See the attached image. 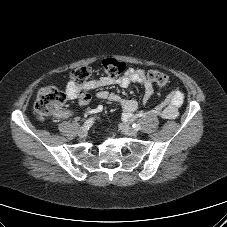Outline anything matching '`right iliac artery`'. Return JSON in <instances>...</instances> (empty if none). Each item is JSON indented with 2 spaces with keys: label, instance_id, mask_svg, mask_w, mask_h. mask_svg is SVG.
<instances>
[{
  "label": "right iliac artery",
  "instance_id": "right-iliac-artery-1",
  "mask_svg": "<svg viewBox=\"0 0 227 227\" xmlns=\"http://www.w3.org/2000/svg\"><path fill=\"white\" fill-rule=\"evenodd\" d=\"M94 123V118H89L88 120H86V122L84 123V127L86 128H90Z\"/></svg>",
  "mask_w": 227,
  "mask_h": 227
}]
</instances>
